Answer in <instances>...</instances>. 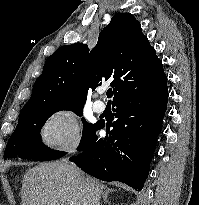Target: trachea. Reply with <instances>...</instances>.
Masks as SVG:
<instances>
[{
  "label": "trachea",
  "mask_w": 199,
  "mask_h": 205,
  "mask_svg": "<svg viewBox=\"0 0 199 205\" xmlns=\"http://www.w3.org/2000/svg\"><path fill=\"white\" fill-rule=\"evenodd\" d=\"M113 95V91L111 89L107 90V97L111 98Z\"/></svg>",
  "instance_id": "trachea-1"
}]
</instances>
